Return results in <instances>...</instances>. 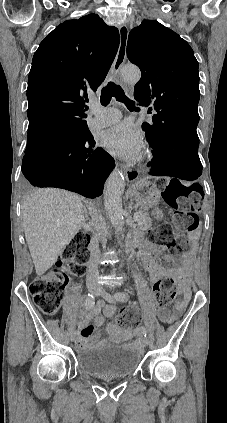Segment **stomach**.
Listing matches in <instances>:
<instances>
[{
    "label": "stomach",
    "instance_id": "obj_1",
    "mask_svg": "<svg viewBox=\"0 0 227 423\" xmlns=\"http://www.w3.org/2000/svg\"><path fill=\"white\" fill-rule=\"evenodd\" d=\"M130 192L141 208H152L161 198L156 184L148 182L146 178H142V180H138L136 184H133Z\"/></svg>",
    "mask_w": 227,
    "mask_h": 423
}]
</instances>
